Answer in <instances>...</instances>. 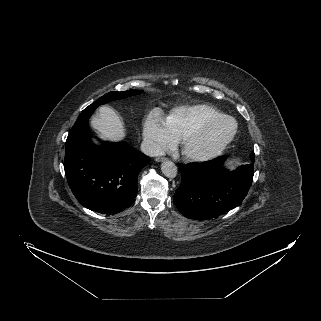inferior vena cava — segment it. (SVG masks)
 <instances>
[{"label":"inferior vena cava","instance_id":"obj_1","mask_svg":"<svg viewBox=\"0 0 321 321\" xmlns=\"http://www.w3.org/2000/svg\"><path fill=\"white\" fill-rule=\"evenodd\" d=\"M141 151L149 156L156 157L164 155L163 149L155 142L151 140H144L141 144Z\"/></svg>","mask_w":321,"mask_h":321}]
</instances>
